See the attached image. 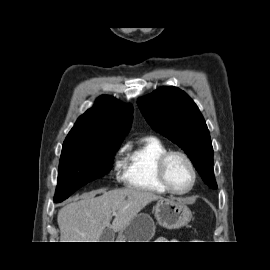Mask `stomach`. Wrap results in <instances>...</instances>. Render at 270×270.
Returning a JSON list of instances; mask_svg holds the SVG:
<instances>
[{"mask_svg":"<svg viewBox=\"0 0 270 270\" xmlns=\"http://www.w3.org/2000/svg\"><path fill=\"white\" fill-rule=\"evenodd\" d=\"M155 218L167 229H178L187 225L192 218L191 210L181 201L159 199L154 207ZM155 232V224L146 213L137 214L134 219L118 233V242H149Z\"/></svg>","mask_w":270,"mask_h":270,"instance_id":"stomach-1","label":"stomach"}]
</instances>
